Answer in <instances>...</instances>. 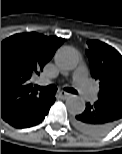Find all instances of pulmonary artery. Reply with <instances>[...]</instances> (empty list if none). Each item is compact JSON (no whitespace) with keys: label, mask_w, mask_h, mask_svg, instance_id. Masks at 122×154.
<instances>
[{"label":"pulmonary artery","mask_w":122,"mask_h":154,"mask_svg":"<svg viewBox=\"0 0 122 154\" xmlns=\"http://www.w3.org/2000/svg\"><path fill=\"white\" fill-rule=\"evenodd\" d=\"M73 78L76 87L85 99L92 101L96 100V93L93 91L87 80L86 70L84 68H77L73 73Z\"/></svg>","instance_id":"1"}]
</instances>
